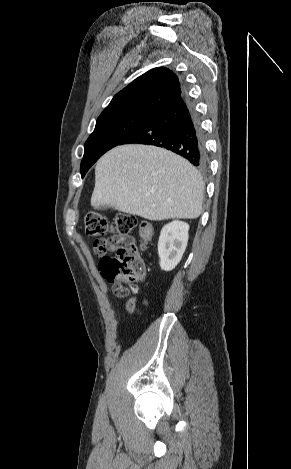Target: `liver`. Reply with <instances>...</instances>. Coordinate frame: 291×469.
<instances>
[{
	"label": "liver",
	"mask_w": 291,
	"mask_h": 469,
	"mask_svg": "<svg viewBox=\"0 0 291 469\" xmlns=\"http://www.w3.org/2000/svg\"><path fill=\"white\" fill-rule=\"evenodd\" d=\"M204 188L201 175L181 156L155 146L123 145L98 160L91 205L153 221L195 219Z\"/></svg>",
	"instance_id": "1"
}]
</instances>
